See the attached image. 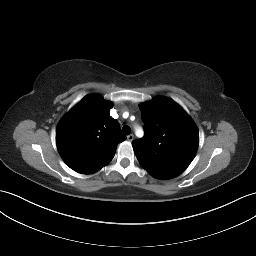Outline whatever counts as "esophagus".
Listing matches in <instances>:
<instances>
[{
    "instance_id": "1",
    "label": "esophagus",
    "mask_w": 256,
    "mask_h": 256,
    "mask_svg": "<svg viewBox=\"0 0 256 256\" xmlns=\"http://www.w3.org/2000/svg\"><path fill=\"white\" fill-rule=\"evenodd\" d=\"M133 139H134V135L133 134H129L128 136H127V140L128 141H133Z\"/></svg>"
}]
</instances>
